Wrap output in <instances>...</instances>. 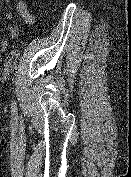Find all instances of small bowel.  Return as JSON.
Returning <instances> with one entry per match:
<instances>
[{
  "instance_id": "small-bowel-1",
  "label": "small bowel",
  "mask_w": 131,
  "mask_h": 177,
  "mask_svg": "<svg viewBox=\"0 0 131 177\" xmlns=\"http://www.w3.org/2000/svg\"><path fill=\"white\" fill-rule=\"evenodd\" d=\"M16 9H17V12H18L19 16L23 19V21L26 24L31 25V24L34 23L35 17L33 16V14H31V12L28 9L27 4L23 0H18L17 1ZM12 17H13V15L9 11H6V12L3 13V18L5 20H11ZM8 30H9V33L12 37H17L18 36V33H17L15 28L10 27ZM0 47H1L2 51H5L8 48V43L6 41H3L0 45Z\"/></svg>"
}]
</instances>
